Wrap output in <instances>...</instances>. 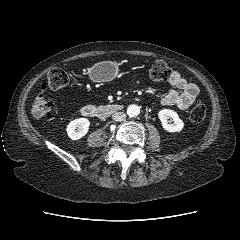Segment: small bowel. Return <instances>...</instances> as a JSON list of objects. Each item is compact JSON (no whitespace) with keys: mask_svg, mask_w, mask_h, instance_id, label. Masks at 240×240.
Instances as JSON below:
<instances>
[{"mask_svg":"<svg viewBox=\"0 0 240 240\" xmlns=\"http://www.w3.org/2000/svg\"><path fill=\"white\" fill-rule=\"evenodd\" d=\"M168 82L173 88L161 98L160 105L163 107L175 106L185 110L200 94L198 86L188 82L178 71H171Z\"/></svg>","mask_w":240,"mask_h":240,"instance_id":"obj_1","label":"small bowel"}]
</instances>
